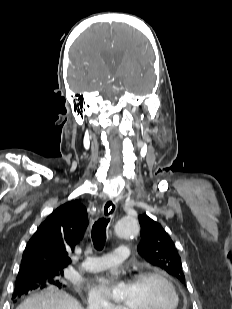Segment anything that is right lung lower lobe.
Wrapping results in <instances>:
<instances>
[{
	"instance_id": "1",
	"label": "right lung lower lobe",
	"mask_w": 232,
	"mask_h": 309,
	"mask_svg": "<svg viewBox=\"0 0 232 309\" xmlns=\"http://www.w3.org/2000/svg\"><path fill=\"white\" fill-rule=\"evenodd\" d=\"M37 288L41 287L38 285V282L36 280H33L26 284L15 286L12 298L16 299L18 297H21L22 295H26L28 292L35 290Z\"/></svg>"
}]
</instances>
